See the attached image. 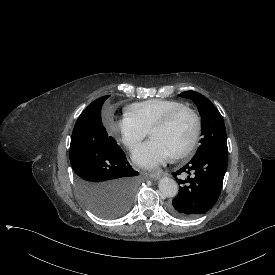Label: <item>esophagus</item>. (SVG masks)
I'll return each instance as SVG.
<instances>
[{
    "mask_svg": "<svg viewBox=\"0 0 275 275\" xmlns=\"http://www.w3.org/2000/svg\"><path fill=\"white\" fill-rule=\"evenodd\" d=\"M164 174H165V172L163 170H157V171L151 173L150 176L158 179V178H161Z\"/></svg>",
    "mask_w": 275,
    "mask_h": 275,
    "instance_id": "34e87169",
    "label": "esophagus"
}]
</instances>
